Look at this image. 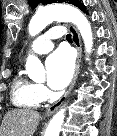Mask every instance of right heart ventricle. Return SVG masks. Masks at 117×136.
I'll use <instances>...</instances> for the list:
<instances>
[{"instance_id": "obj_1", "label": "right heart ventricle", "mask_w": 117, "mask_h": 136, "mask_svg": "<svg viewBox=\"0 0 117 136\" xmlns=\"http://www.w3.org/2000/svg\"><path fill=\"white\" fill-rule=\"evenodd\" d=\"M11 98L13 104L20 108H35L42 101L37 85L19 74L12 82Z\"/></svg>"}]
</instances>
